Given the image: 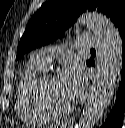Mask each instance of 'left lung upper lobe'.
Instances as JSON below:
<instances>
[{"instance_id":"1","label":"left lung upper lobe","mask_w":125,"mask_h":128,"mask_svg":"<svg viewBox=\"0 0 125 128\" xmlns=\"http://www.w3.org/2000/svg\"><path fill=\"white\" fill-rule=\"evenodd\" d=\"M86 10L103 13L116 28L125 22V0H50L30 19L18 44L16 59L61 37Z\"/></svg>"}]
</instances>
